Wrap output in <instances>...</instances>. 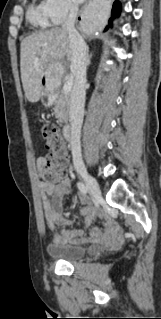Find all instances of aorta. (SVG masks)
<instances>
[{
  "label": "aorta",
  "instance_id": "1",
  "mask_svg": "<svg viewBox=\"0 0 161 319\" xmlns=\"http://www.w3.org/2000/svg\"><path fill=\"white\" fill-rule=\"evenodd\" d=\"M96 27V24H93V28H95Z\"/></svg>",
  "mask_w": 161,
  "mask_h": 319
}]
</instances>
